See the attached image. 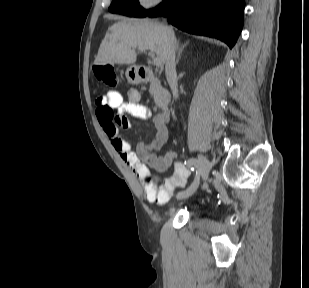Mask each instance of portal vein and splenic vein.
Here are the masks:
<instances>
[{
  "instance_id": "18ae733b",
  "label": "portal vein and splenic vein",
  "mask_w": 309,
  "mask_h": 288,
  "mask_svg": "<svg viewBox=\"0 0 309 288\" xmlns=\"http://www.w3.org/2000/svg\"><path fill=\"white\" fill-rule=\"evenodd\" d=\"M139 51H146V50H151V52L155 51V47L154 46H141L138 48ZM154 65L156 66H161L162 65V60L159 57H154L153 59Z\"/></svg>"
}]
</instances>
